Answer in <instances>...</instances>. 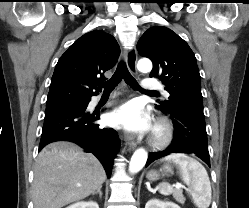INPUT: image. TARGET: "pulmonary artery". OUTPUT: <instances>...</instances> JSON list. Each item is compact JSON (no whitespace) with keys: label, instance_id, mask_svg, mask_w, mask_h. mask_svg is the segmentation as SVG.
<instances>
[{"label":"pulmonary artery","instance_id":"pulmonary-artery-1","mask_svg":"<svg viewBox=\"0 0 249 208\" xmlns=\"http://www.w3.org/2000/svg\"><path fill=\"white\" fill-rule=\"evenodd\" d=\"M141 89L145 92H152L155 90H162L163 94L167 97L168 96V92L163 90L161 84L159 82H157L154 79H150V78H145L142 80L141 82ZM97 99L94 101L96 102Z\"/></svg>","mask_w":249,"mask_h":208}]
</instances>
